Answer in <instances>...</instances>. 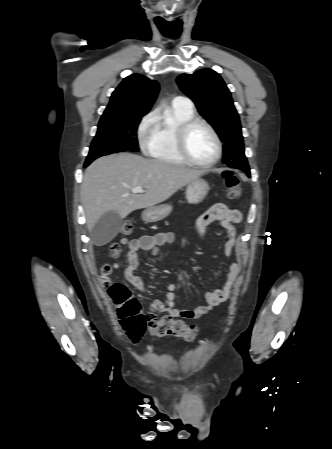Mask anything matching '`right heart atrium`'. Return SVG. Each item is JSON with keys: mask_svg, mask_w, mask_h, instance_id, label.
Wrapping results in <instances>:
<instances>
[{"mask_svg": "<svg viewBox=\"0 0 332 449\" xmlns=\"http://www.w3.org/2000/svg\"><path fill=\"white\" fill-rule=\"evenodd\" d=\"M156 125V118L154 113H148L140 121L137 129V135L140 146L146 149L151 141Z\"/></svg>", "mask_w": 332, "mask_h": 449, "instance_id": "d8ad5b80", "label": "right heart atrium"}]
</instances>
